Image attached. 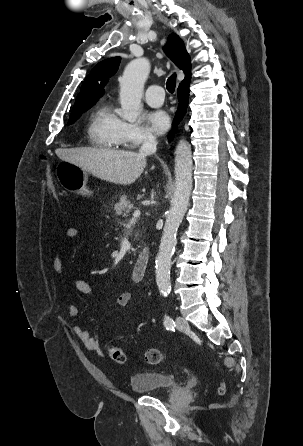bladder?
<instances>
[{
  "mask_svg": "<svg viewBox=\"0 0 303 446\" xmlns=\"http://www.w3.org/2000/svg\"><path fill=\"white\" fill-rule=\"evenodd\" d=\"M176 377L158 371H146L135 374L130 379V387L135 394H150L177 387Z\"/></svg>",
  "mask_w": 303,
  "mask_h": 446,
  "instance_id": "1",
  "label": "bladder"
}]
</instances>
